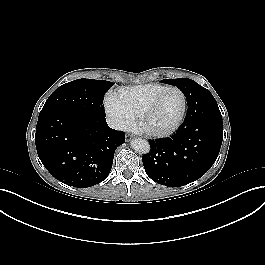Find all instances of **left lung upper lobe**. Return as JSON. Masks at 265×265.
<instances>
[{"label": "left lung upper lobe", "mask_w": 265, "mask_h": 265, "mask_svg": "<svg viewBox=\"0 0 265 265\" xmlns=\"http://www.w3.org/2000/svg\"><path fill=\"white\" fill-rule=\"evenodd\" d=\"M162 82L166 83V84L177 86L183 92L185 97H187L189 95V93H191V91L195 88H204V87L200 86L199 84H197L195 81H193L191 79H187V78L164 79V80H162ZM210 96H211V99L214 100V97L212 96L211 93H210Z\"/></svg>", "instance_id": "1"}]
</instances>
